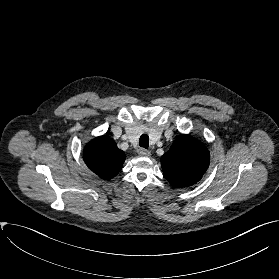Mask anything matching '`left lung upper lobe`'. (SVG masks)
<instances>
[{
	"instance_id": "left-lung-upper-lobe-1",
	"label": "left lung upper lobe",
	"mask_w": 279,
	"mask_h": 279,
	"mask_svg": "<svg viewBox=\"0 0 279 279\" xmlns=\"http://www.w3.org/2000/svg\"><path fill=\"white\" fill-rule=\"evenodd\" d=\"M205 145L190 135H181L161 157L164 177L176 188L198 182L209 166Z\"/></svg>"
}]
</instances>
